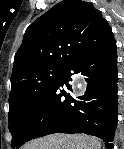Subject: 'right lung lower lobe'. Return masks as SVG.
<instances>
[{"instance_id": "1", "label": "right lung lower lobe", "mask_w": 124, "mask_h": 149, "mask_svg": "<svg viewBox=\"0 0 124 149\" xmlns=\"http://www.w3.org/2000/svg\"><path fill=\"white\" fill-rule=\"evenodd\" d=\"M78 73L87 82L81 97L73 95L69 84ZM117 78V48L113 38L62 69L16 147L53 133H83L103 139L105 146L112 148L118 116Z\"/></svg>"}]
</instances>
